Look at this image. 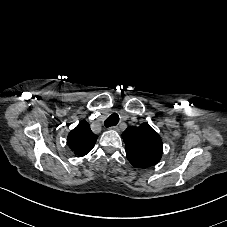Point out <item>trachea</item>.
Wrapping results in <instances>:
<instances>
[{"mask_svg":"<svg viewBox=\"0 0 227 227\" xmlns=\"http://www.w3.org/2000/svg\"><path fill=\"white\" fill-rule=\"evenodd\" d=\"M120 118L118 113H112L104 122L105 127H111L118 124Z\"/></svg>","mask_w":227,"mask_h":227,"instance_id":"1","label":"trachea"}]
</instances>
